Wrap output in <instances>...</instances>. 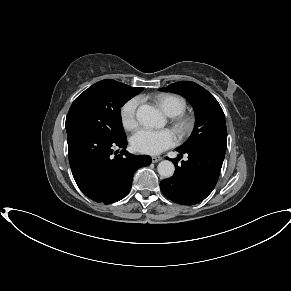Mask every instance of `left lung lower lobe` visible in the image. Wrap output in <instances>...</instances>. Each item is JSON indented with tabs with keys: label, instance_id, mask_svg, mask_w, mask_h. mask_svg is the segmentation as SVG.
<instances>
[{
	"label": "left lung lower lobe",
	"instance_id": "obj_1",
	"mask_svg": "<svg viewBox=\"0 0 291 291\" xmlns=\"http://www.w3.org/2000/svg\"><path fill=\"white\" fill-rule=\"evenodd\" d=\"M179 155L188 154V160L178 166L172 177L160 182L162 193L173 202L194 205L203 201L214 189L221 171L226 148L221 146H194L177 148Z\"/></svg>",
	"mask_w": 291,
	"mask_h": 291
}]
</instances>
